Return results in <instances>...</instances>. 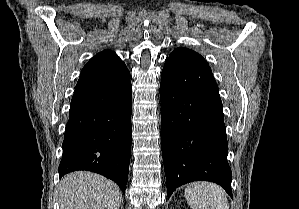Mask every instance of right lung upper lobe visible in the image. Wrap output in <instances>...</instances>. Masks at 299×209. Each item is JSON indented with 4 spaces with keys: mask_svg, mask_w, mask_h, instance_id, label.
<instances>
[{
    "mask_svg": "<svg viewBox=\"0 0 299 209\" xmlns=\"http://www.w3.org/2000/svg\"><path fill=\"white\" fill-rule=\"evenodd\" d=\"M103 69H113L119 75H124L129 72L124 62L111 50H104L97 53L86 63L82 71H97Z\"/></svg>",
    "mask_w": 299,
    "mask_h": 209,
    "instance_id": "1",
    "label": "right lung upper lobe"
}]
</instances>
